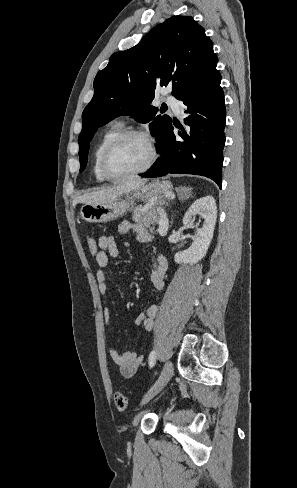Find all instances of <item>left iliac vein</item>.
<instances>
[{
  "label": "left iliac vein",
  "instance_id": "obj_1",
  "mask_svg": "<svg viewBox=\"0 0 297 488\" xmlns=\"http://www.w3.org/2000/svg\"><path fill=\"white\" fill-rule=\"evenodd\" d=\"M173 373V364L167 361L162 369V372L155 382V384L150 388V390L145 394L142 405L149 402L153 397H155L168 383Z\"/></svg>",
  "mask_w": 297,
  "mask_h": 488
}]
</instances>
